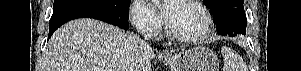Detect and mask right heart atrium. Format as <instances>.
Instances as JSON below:
<instances>
[{"instance_id": "right-heart-atrium-1", "label": "right heart atrium", "mask_w": 301, "mask_h": 71, "mask_svg": "<svg viewBox=\"0 0 301 71\" xmlns=\"http://www.w3.org/2000/svg\"><path fill=\"white\" fill-rule=\"evenodd\" d=\"M131 19L136 29L148 37L155 36L160 31V18L143 1L134 2L131 10Z\"/></svg>"}]
</instances>
